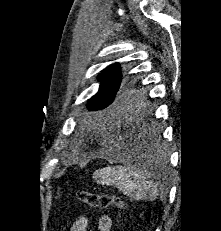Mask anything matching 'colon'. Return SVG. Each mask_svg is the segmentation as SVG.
<instances>
[{"label":"colon","instance_id":"obj_1","mask_svg":"<svg viewBox=\"0 0 221 231\" xmlns=\"http://www.w3.org/2000/svg\"><path fill=\"white\" fill-rule=\"evenodd\" d=\"M77 197L90 207L94 208H108L115 207L117 209H124L126 204L124 200L115 195L95 194L87 190H78Z\"/></svg>","mask_w":221,"mask_h":231}]
</instances>
